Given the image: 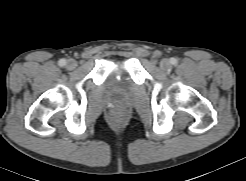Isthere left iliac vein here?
I'll list each match as a JSON object with an SVG mask.
<instances>
[{"mask_svg": "<svg viewBox=\"0 0 246 181\" xmlns=\"http://www.w3.org/2000/svg\"><path fill=\"white\" fill-rule=\"evenodd\" d=\"M160 68L163 70H168L171 68V64L167 59H163L160 62Z\"/></svg>", "mask_w": 246, "mask_h": 181, "instance_id": "obj_1", "label": "left iliac vein"}]
</instances>
